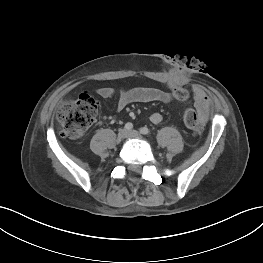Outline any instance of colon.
Wrapping results in <instances>:
<instances>
[{"label": "colon", "instance_id": "colon-1", "mask_svg": "<svg viewBox=\"0 0 263 263\" xmlns=\"http://www.w3.org/2000/svg\"><path fill=\"white\" fill-rule=\"evenodd\" d=\"M176 99L185 102L189 94L182 87H175ZM97 111V103L89 94H81L77 100L62 105L57 112V120L61 125V134L67 138H80L93 124ZM185 125L196 135L203 132L204 123L193 108L184 112Z\"/></svg>", "mask_w": 263, "mask_h": 263}]
</instances>
